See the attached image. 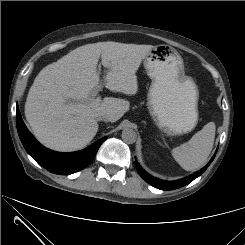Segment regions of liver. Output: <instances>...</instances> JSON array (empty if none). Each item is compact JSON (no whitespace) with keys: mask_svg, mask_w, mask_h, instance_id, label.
Masks as SVG:
<instances>
[{"mask_svg":"<svg viewBox=\"0 0 245 245\" xmlns=\"http://www.w3.org/2000/svg\"><path fill=\"white\" fill-rule=\"evenodd\" d=\"M152 45L107 41L80 46L44 67L26 99L25 116L35 137L46 147L71 152L84 148L98 131L97 116L119 120L129 109L127 100H90L99 87L97 64L108 69L106 88L135 95L136 72Z\"/></svg>","mask_w":245,"mask_h":245,"instance_id":"liver-1","label":"liver"}]
</instances>
